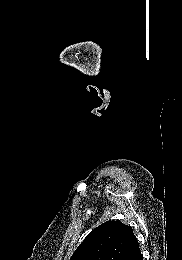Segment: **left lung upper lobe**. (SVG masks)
Masks as SVG:
<instances>
[{
  "label": "left lung upper lobe",
  "instance_id": "obj_1",
  "mask_svg": "<svg viewBox=\"0 0 182 260\" xmlns=\"http://www.w3.org/2000/svg\"><path fill=\"white\" fill-rule=\"evenodd\" d=\"M136 241L130 226L107 221L88 234L70 260H123Z\"/></svg>",
  "mask_w": 182,
  "mask_h": 260
}]
</instances>
